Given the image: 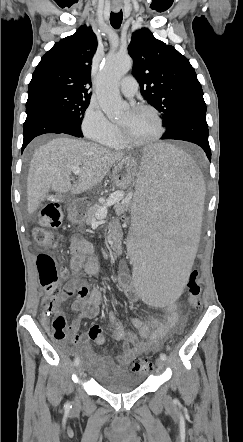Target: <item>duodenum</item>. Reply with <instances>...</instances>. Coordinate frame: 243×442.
I'll list each match as a JSON object with an SVG mask.
<instances>
[{
  "instance_id": "obj_1",
  "label": "duodenum",
  "mask_w": 243,
  "mask_h": 442,
  "mask_svg": "<svg viewBox=\"0 0 243 442\" xmlns=\"http://www.w3.org/2000/svg\"><path fill=\"white\" fill-rule=\"evenodd\" d=\"M119 237H120V234L116 233L115 234V251H117V252H119L121 250L120 244H119Z\"/></svg>"
}]
</instances>
